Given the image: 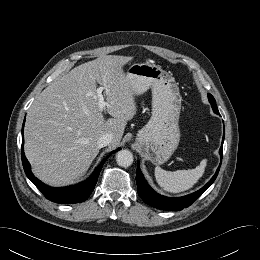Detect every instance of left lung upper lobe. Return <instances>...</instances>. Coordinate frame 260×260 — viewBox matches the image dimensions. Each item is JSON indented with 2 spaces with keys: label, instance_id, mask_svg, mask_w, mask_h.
<instances>
[{
  "label": "left lung upper lobe",
  "instance_id": "left-lung-upper-lobe-1",
  "mask_svg": "<svg viewBox=\"0 0 260 260\" xmlns=\"http://www.w3.org/2000/svg\"><path fill=\"white\" fill-rule=\"evenodd\" d=\"M208 99H209V102L211 103L213 111L216 114H219V111H218V108H217L216 101H215L214 97L211 94H208Z\"/></svg>",
  "mask_w": 260,
  "mask_h": 260
}]
</instances>
